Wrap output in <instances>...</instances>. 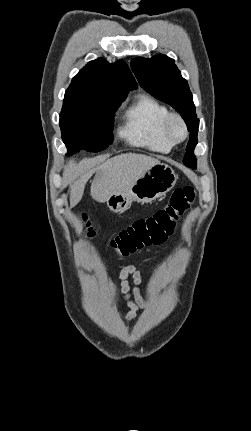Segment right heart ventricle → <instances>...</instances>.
<instances>
[{
  "mask_svg": "<svg viewBox=\"0 0 251 431\" xmlns=\"http://www.w3.org/2000/svg\"><path fill=\"white\" fill-rule=\"evenodd\" d=\"M168 113L167 107L155 98L146 94L139 95L124 112L120 135L133 145L168 153L174 147L163 131Z\"/></svg>",
  "mask_w": 251,
  "mask_h": 431,
  "instance_id": "e07e8e85",
  "label": "right heart ventricle"
}]
</instances>
